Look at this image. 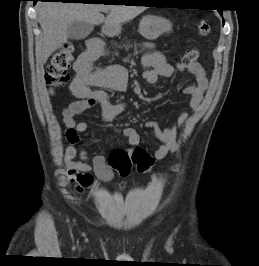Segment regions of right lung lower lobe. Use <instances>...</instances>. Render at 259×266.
Segmentation results:
<instances>
[{
  "instance_id": "right-lung-lower-lobe-1",
  "label": "right lung lower lobe",
  "mask_w": 259,
  "mask_h": 266,
  "mask_svg": "<svg viewBox=\"0 0 259 266\" xmlns=\"http://www.w3.org/2000/svg\"><path fill=\"white\" fill-rule=\"evenodd\" d=\"M32 1H34V4H35L37 1H42V2H44V1H61L62 3H64L66 1H71V0H32ZM83 3H86V2H83Z\"/></svg>"
}]
</instances>
